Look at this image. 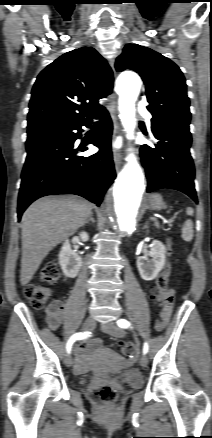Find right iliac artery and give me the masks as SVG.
I'll use <instances>...</instances> for the list:
<instances>
[{
  "label": "right iliac artery",
  "instance_id": "82829eb1",
  "mask_svg": "<svg viewBox=\"0 0 212 438\" xmlns=\"http://www.w3.org/2000/svg\"><path fill=\"white\" fill-rule=\"evenodd\" d=\"M90 336H91V332H88V331H86V332H79V333H75L74 335H72L70 337V339L68 340L67 344H66V351H67V353L71 352L72 345H73V343L76 340L86 339V338H88Z\"/></svg>",
  "mask_w": 212,
  "mask_h": 438
}]
</instances>
